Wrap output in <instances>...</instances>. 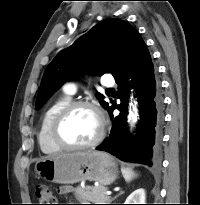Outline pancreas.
<instances>
[{
	"label": "pancreas",
	"mask_w": 200,
	"mask_h": 205,
	"mask_svg": "<svg viewBox=\"0 0 200 205\" xmlns=\"http://www.w3.org/2000/svg\"><path fill=\"white\" fill-rule=\"evenodd\" d=\"M107 187L99 185L94 186H85L81 188L78 186L75 188V197L79 201H90L94 204H105L111 201L110 196L106 195Z\"/></svg>",
	"instance_id": "cf45deb5"
}]
</instances>
